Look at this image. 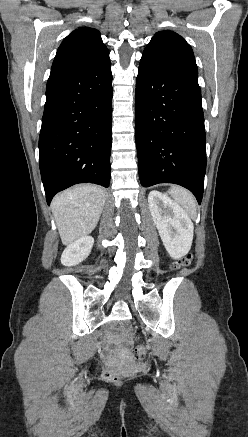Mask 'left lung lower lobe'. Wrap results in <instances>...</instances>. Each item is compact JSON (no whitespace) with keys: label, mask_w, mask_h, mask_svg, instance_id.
<instances>
[{"label":"left lung lower lobe","mask_w":248,"mask_h":437,"mask_svg":"<svg viewBox=\"0 0 248 437\" xmlns=\"http://www.w3.org/2000/svg\"><path fill=\"white\" fill-rule=\"evenodd\" d=\"M135 124L141 185L178 184L200 204L206 135L198 83L139 66Z\"/></svg>","instance_id":"obj_1"}]
</instances>
